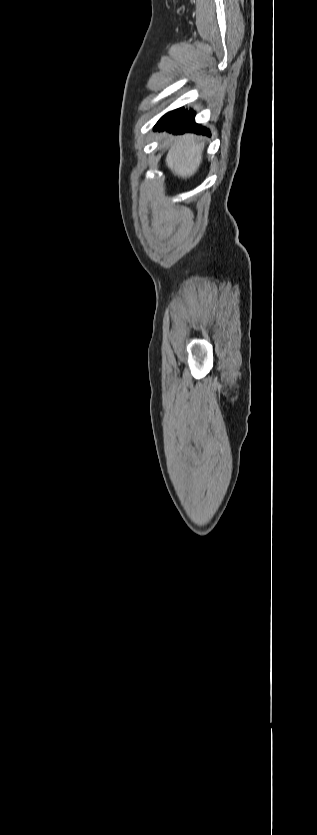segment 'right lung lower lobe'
<instances>
[{
    "mask_svg": "<svg viewBox=\"0 0 317 835\" xmlns=\"http://www.w3.org/2000/svg\"><path fill=\"white\" fill-rule=\"evenodd\" d=\"M194 116L195 113L192 110L188 111L180 108L164 115L155 125V129H167L174 134L195 132L197 134L209 135V129L196 124Z\"/></svg>",
    "mask_w": 317,
    "mask_h": 835,
    "instance_id": "obj_1",
    "label": "right lung lower lobe"
}]
</instances>
